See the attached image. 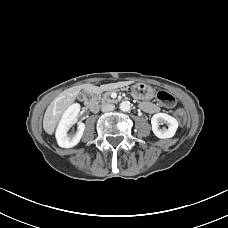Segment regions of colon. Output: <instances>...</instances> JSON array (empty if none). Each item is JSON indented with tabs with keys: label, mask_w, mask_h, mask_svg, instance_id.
<instances>
[{
	"label": "colon",
	"mask_w": 228,
	"mask_h": 228,
	"mask_svg": "<svg viewBox=\"0 0 228 228\" xmlns=\"http://www.w3.org/2000/svg\"><path fill=\"white\" fill-rule=\"evenodd\" d=\"M156 97L158 101L165 106L172 107L175 104V98L173 97V95L166 91H159ZM175 116L181 124H184L186 122L187 115L183 109H176Z\"/></svg>",
	"instance_id": "5ec220e1"
}]
</instances>
